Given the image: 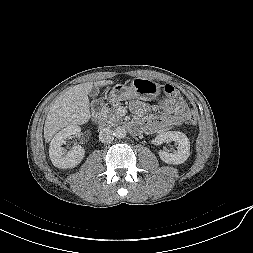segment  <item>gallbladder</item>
<instances>
[{
    "mask_svg": "<svg viewBox=\"0 0 253 253\" xmlns=\"http://www.w3.org/2000/svg\"><path fill=\"white\" fill-rule=\"evenodd\" d=\"M97 95H98V90H97V88H92V89L90 90V92H89V96L92 97V98H94V97H96Z\"/></svg>",
    "mask_w": 253,
    "mask_h": 253,
    "instance_id": "1",
    "label": "gallbladder"
}]
</instances>
